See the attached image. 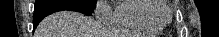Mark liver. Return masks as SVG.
Listing matches in <instances>:
<instances>
[{"instance_id": "6515ba94", "label": "liver", "mask_w": 219, "mask_h": 37, "mask_svg": "<svg viewBox=\"0 0 219 37\" xmlns=\"http://www.w3.org/2000/svg\"><path fill=\"white\" fill-rule=\"evenodd\" d=\"M97 21L76 11H59L43 19L35 37H100Z\"/></svg>"}]
</instances>
